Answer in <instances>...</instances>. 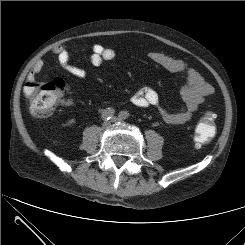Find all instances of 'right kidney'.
I'll use <instances>...</instances> for the list:
<instances>
[{
  "label": "right kidney",
  "mask_w": 245,
  "mask_h": 245,
  "mask_svg": "<svg viewBox=\"0 0 245 245\" xmlns=\"http://www.w3.org/2000/svg\"><path fill=\"white\" fill-rule=\"evenodd\" d=\"M73 123H75V119H70L65 125L69 126L72 125Z\"/></svg>",
  "instance_id": "1"
}]
</instances>
